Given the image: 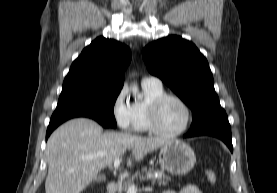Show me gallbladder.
I'll list each match as a JSON object with an SVG mask.
<instances>
[{"instance_id": "gallbladder-1", "label": "gallbladder", "mask_w": 277, "mask_h": 193, "mask_svg": "<svg viewBox=\"0 0 277 193\" xmlns=\"http://www.w3.org/2000/svg\"><path fill=\"white\" fill-rule=\"evenodd\" d=\"M105 180H106L105 176L99 175V176L94 180V182L100 183V182H104Z\"/></svg>"}]
</instances>
